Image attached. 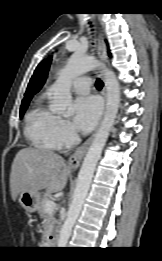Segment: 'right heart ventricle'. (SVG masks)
I'll return each instance as SVG.
<instances>
[{"label": "right heart ventricle", "instance_id": "1", "mask_svg": "<svg viewBox=\"0 0 162 261\" xmlns=\"http://www.w3.org/2000/svg\"><path fill=\"white\" fill-rule=\"evenodd\" d=\"M58 116L38 98L26 115L25 134L38 148L52 150L57 148L53 137V125Z\"/></svg>", "mask_w": 162, "mask_h": 261}]
</instances>
